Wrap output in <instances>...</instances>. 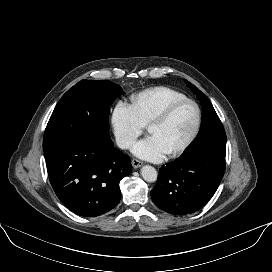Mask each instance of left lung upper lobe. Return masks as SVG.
Here are the masks:
<instances>
[{"mask_svg": "<svg viewBox=\"0 0 272 272\" xmlns=\"http://www.w3.org/2000/svg\"><path fill=\"white\" fill-rule=\"evenodd\" d=\"M187 86L196 94L202 105L201 129L193 143L185 150L189 152H207L225 158L226 134L224 127L208 97L197 87L185 80Z\"/></svg>", "mask_w": 272, "mask_h": 272, "instance_id": "1", "label": "left lung upper lobe"}]
</instances>
